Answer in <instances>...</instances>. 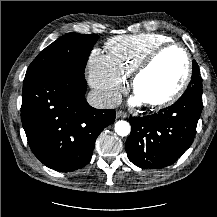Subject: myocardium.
I'll return each instance as SVG.
<instances>
[{
    "label": "myocardium",
    "mask_w": 217,
    "mask_h": 217,
    "mask_svg": "<svg viewBox=\"0 0 217 217\" xmlns=\"http://www.w3.org/2000/svg\"><path fill=\"white\" fill-rule=\"evenodd\" d=\"M170 50H179L183 53L185 60H186V72L184 78L178 88L171 93L170 95L154 101H143L149 107L153 108H163L165 106L171 105L179 100L184 93L186 92L193 73V65H192V58L188 50L178 44V43H168L163 46H160L154 49L151 53L147 55V57L135 68L131 75V89L136 94V85L140 77L151 67V65L157 60V58L163 54L164 52Z\"/></svg>",
    "instance_id": "f54148a6"
}]
</instances>
